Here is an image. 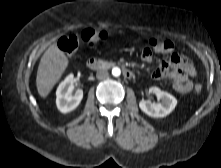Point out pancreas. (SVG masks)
<instances>
[{
  "label": "pancreas",
  "instance_id": "obj_1",
  "mask_svg": "<svg viewBox=\"0 0 221 168\" xmlns=\"http://www.w3.org/2000/svg\"><path fill=\"white\" fill-rule=\"evenodd\" d=\"M102 64H112V62L103 61Z\"/></svg>",
  "mask_w": 221,
  "mask_h": 168
}]
</instances>
